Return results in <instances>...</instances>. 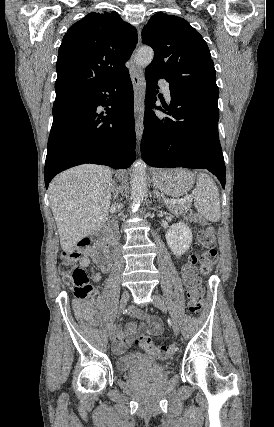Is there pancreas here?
<instances>
[{
  "label": "pancreas",
  "mask_w": 274,
  "mask_h": 427,
  "mask_svg": "<svg viewBox=\"0 0 274 427\" xmlns=\"http://www.w3.org/2000/svg\"><path fill=\"white\" fill-rule=\"evenodd\" d=\"M166 206L171 210L172 214L175 215L186 214V212L191 208V204H189V202H186V204H166Z\"/></svg>",
  "instance_id": "obj_1"
}]
</instances>
